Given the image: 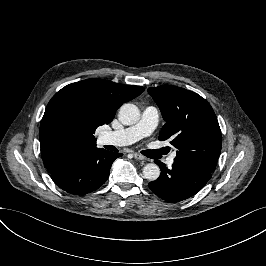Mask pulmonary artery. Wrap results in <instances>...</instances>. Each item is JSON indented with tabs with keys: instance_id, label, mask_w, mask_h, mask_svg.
<instances>
[{
	"instance_id": "pulmonary-artery-1",
	"label": "pulmonary artery",
	"mask_w": 266,
	"mask_h": 266,
	"mask_svg": "<svg viewBox=\"0 0 266 266\" xmlns=\"http://www.w3.org/2000/svg\"><path fill=\"white\" fill-rule=\"evenodd\" d=\"M159 122V112L154 106L146 107L140 117V120L130 127L109 131L101 135V143L104 145L126 146L149 136L156 128ZM176 151L167 159L166 163L171 166L174 163Z\"/></svg>"
}]
</instances>
